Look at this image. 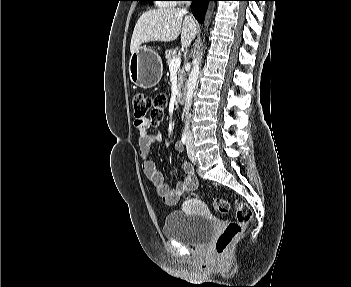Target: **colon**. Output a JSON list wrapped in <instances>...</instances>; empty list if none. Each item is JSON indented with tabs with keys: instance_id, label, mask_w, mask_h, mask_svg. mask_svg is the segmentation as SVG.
Segmentation results:
<instances>
[{
	"instance_id": "obj_1",
	"label": "colon",
	"mask_w": 351,
	"mask_h": 287,
	"mask_svg": "<svg viewBox=\"0 0 351 287\" xmlns=\"http://www.w3.org/2000/svg\"><path fill=\"white\" fill-rule=\"evenodd\" d=\"M136 120H149V124L156 126L163 119L166 106V96L162 93L156 95L135 92L132 97ZM214 207L223 214L230 211V203L224 199L213 200ZM252 210L245 203L236 204L235 220L229 221L215 242V249L219 254L224 253L232 242L243 232L246 224L252 219Z\"/></svg>"
}]
</instances>
